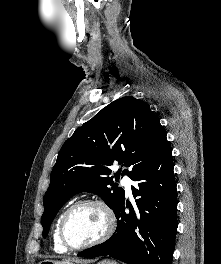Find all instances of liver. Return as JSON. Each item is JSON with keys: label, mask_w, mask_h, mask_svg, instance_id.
I'll return each mask as SVG.
<instances>
[{"label": "liver", "mask_w": 221, "mask_h": 264, "mask_svg": "<svg viewBox=\"0 0 221 264\" xmlns=\"http://www.w3.org/2000/svg\"><path fill=\"white\" fill-rule=\"evenodd\" d=\"M62 262H66L67 263V262H70V261L69 260H65V261H62Z\"/></svg>", "instance_id": "6515ba94"}]
</instances>
